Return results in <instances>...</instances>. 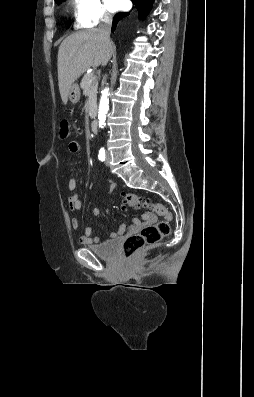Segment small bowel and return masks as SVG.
<instances>
[{
  "instance_id": "small-bowel-1",
  "label": "small bowel",
  "mask_w": 254,
  "mask_h": 397,
  "mask_svg": "<svg viewBox=\"0 0 254 397\" xmlns=\"http://www.w3.org/2000/svg\"><path fill=\"white\" fill-rule=\"evenodd\" d=\"M68 148L71 153L76 154L80 151V144L77 141H71L68 145ZM108 182L110 183L109 193H112L115 188V183L111 179H108ZM76 187H77L76 179L74 177L70 178L68 181V189L70 191H75ZM68 205L72 212H76L81 209L82 201L76 192L72 193L69 196ZM106 212H107V210H106ZM92 214L95 217H99L102 213H101L100 209L93 208ZM150 218H151L150 215H146V219L149 220ZM138 224H139V221L134 220V225H138ZM71 226L74 230H77L79 228V222L76 217H72ZM124 230H125V226L121 225V227L119 228V230L117 232L111 233V237L112 238L119 237L124 232ZM78 240L80 243L87 244V245L93 244V243H98L100 241V239L98 237H92V228L90 226L85 227L84 233L82 235L78 236Z\"/></svg>"
}]
</instances>
